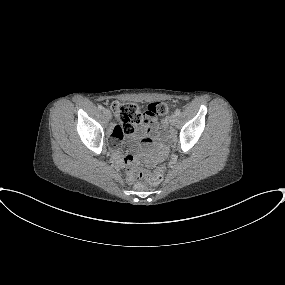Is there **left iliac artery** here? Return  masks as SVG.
<instances>
[{
	"label": "left iliac artery",
	"mask_w": 285,
	"mask_h": 285,
	"mask_svg": "<svg viewBox=\"0 0 285 285\" xmlns=\"http://www.w3.org/2000/svg\"><path fill=\"white\" fill-rule=\"evenodd\" d=\"M181 110L180 109H176L175 110V114L178 116L180 114Z\"/></svg>",
	"instance_id": "1"
}]
</instances>
